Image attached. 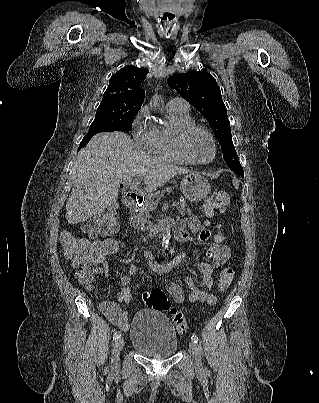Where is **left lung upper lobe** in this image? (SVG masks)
<instances>
[{"instance_id":"1","label":"left lung upper lobe","mask_w":319,"mask_h":403,"mask_svg":"<svg viewBox=\"0 0 319 403\" xmlns=\"http://www.w3.org/2000/svg\"><path fill=\"white\" fill-rule=\"evenodd\" d=\"M167 83L207 119L219 140L226 164L233 172L244 177L216 79L204 71H188L169 77Z\"/></svg>"}]
</instances>
